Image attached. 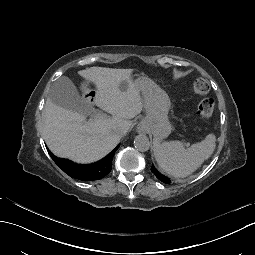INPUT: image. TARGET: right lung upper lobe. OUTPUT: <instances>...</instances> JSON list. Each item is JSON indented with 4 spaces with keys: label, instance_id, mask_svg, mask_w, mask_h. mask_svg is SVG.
<instances>
[{
    "label": "right lung upper lobe",
    "instance_id": "obj_1",
    "mask_svg": "<svg viewBox=\"0 0 255 255\" xmlns=\"http://www.w3.org/2000/svg\"><path fill=\"white\" fill-rule=\"evenodd\" d=\"M117 149L118 146L102 160L89 165H79L67 159L58 158L50 151L49 154L57 166L70 177L81 181H95L111 172L112 159Z\"/></svg>",
    "mask_w": 255,
    "mask_h": 255
}]
</instances>
